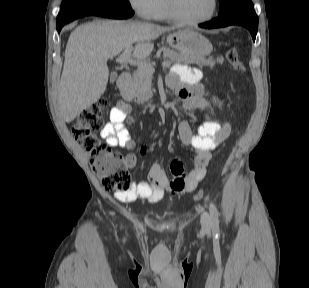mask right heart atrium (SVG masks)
<instances>
[{"label":"right heart atrium","instance_id":"obj_1","mask_svg":"<svg viewBox=\"0 0 309 288\" xmlns=\"http://www.w3.org/2000/svg\"><path fill=\"white\" fill-rule=\"evenodd\" d=\"M161 0H128L130 7L143 18H154Z\"/></svg>","mask_w":309,"mask_h":288}]
</instances>
